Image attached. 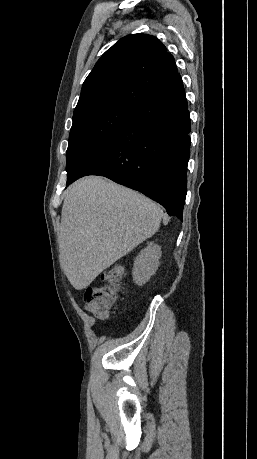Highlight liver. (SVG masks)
<instances>
[{"label": "liver", "mask_w": 257, "mask_h": 459, "mask_svg": "<svg viewBox=\"0 0 257 459\" xmlns=\"http://www.w3.org/2000/svg\"><path fill=\"white\" fill-rule=\"evenodd\" d=\"M161 208L142 194L98 176L86 177L66 193L59 232L60 262L77 289L159 229Z\"/></svg>", "instance_id": "liver-1"}]
</instances>
